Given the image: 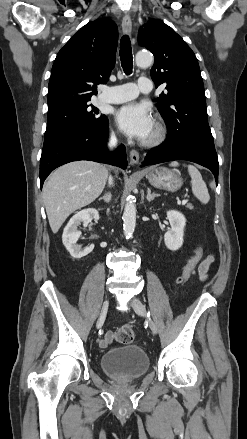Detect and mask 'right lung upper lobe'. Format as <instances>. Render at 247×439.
I'll list each match as a JSON object with an SVG mask.
<instances>
[{
    "label": "right lung upper lobe",
    "mask_w": 247,
    "mask_h": 439,
    "mask_svg": "<svg viewBox=\"0 0 247 439\" xmlns=\"http://www.w3.org/2000/svg\"><path fill=\"white\" fill-rule=\"evenodd\" d=\"M117 26L96 20L83 26L58 52L48 85V110L68 101L91 100L115 65Z\"/></svg>",
    "instance_id": "1"
}]
</instances>
